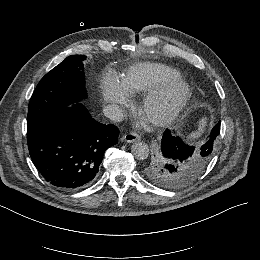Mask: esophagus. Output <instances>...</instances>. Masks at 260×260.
Returning a JSON list of instances; mask_svg holds the SVG:
<instances>
[{"instance_id": "34e87169", "label": "esophagus", "mask_w": 260, "mask_h": 260, "mask_svg": "<svg viewBox=\"0 0 260 260\" xmlns=\"http://www.w3.org/2000/svg\"><path fill=\"white\" fill-rule=\"evenodd\" d=\"M123 139L128 143H133L141 139L140 135L135 132H129L123 136Z\"/></svg>"}]
</instances>
